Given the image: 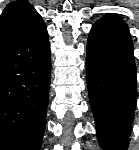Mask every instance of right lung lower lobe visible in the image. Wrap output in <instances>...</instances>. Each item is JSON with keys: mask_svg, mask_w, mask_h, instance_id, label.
Returning <instances> with one entry per match:
<instances>
[{"mask_svg": "<svg viewBox=\"0 0 139 150\" xmlns=\"http://www.w3.org/2000/svg\"><path fill=\"white\" fill-rule=\"evenodd\" d=\"M51 58L35 9L0 28V150H40Z\"/></svg>", "mask_w": 139, "mask_h": 150, "instance_id": "98d812e1", "label": "right lung lower lobe"}]
</instances>
